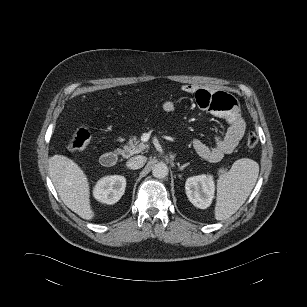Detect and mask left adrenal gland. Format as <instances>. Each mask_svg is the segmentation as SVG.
Returning a JSON list of instances; mask_svg holds the SVG:
<instances>
[{
	"mask_svg": "<svg viewBox=\"0 0 307 307\" xmlns=\"http://www.w3.org/2000/svg\"><path fill=\"white\" fill-rule=\"evenodd\" d=\"M190 163H185L179 167V170L182 171L185 167H187Z\"/></svg>",
	"mask_w": 307,
	"mask_h": 307,
	"instance_id": "a2214340",
	"label": "left adrenal gland"
}]
</instances>
